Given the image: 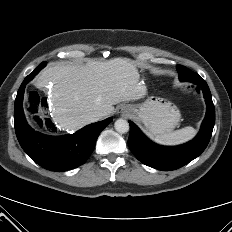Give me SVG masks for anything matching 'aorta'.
I'll use <instances>...</instances> for the list:
<instances>
[{
	"label": "aorta",
	"mask_w": 232,
	"mask_h": 232,
	"mask_svg": "<svg viewBox=\"0 0 232 232\" xmlns=\"http://www.w3.org/2000/svg\"><path fill=\"white\" fill-rule=\"evenodd\" d=\"M114 128L118 133L124 134L129 131V123L125 119H118L114 124Z\"/></svg>",
	"instance_id": "aorta-1"
}]
</instances>
